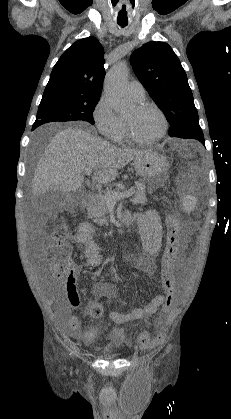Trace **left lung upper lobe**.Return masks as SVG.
I'll list each match as a JSON object with an SVG mask.
<instances>
[{
  "mask_svg": "<svg viewBox=\"0 0 231 419\" xmlns=\"http://www.w3.org/2000/svg\"><path fill=\"white\" fill-rule=\"evenodd\" d=\"M130 61L138 79L165 112L169 136L201 131L186 73L167 43L148 42L133 52Z\"/></svg>",
  "mask_w": 231,
  "mask_h": 419,
  "instance_id": "obj_1",
  "label": "left lung upper lobe"
}]
</instances>
